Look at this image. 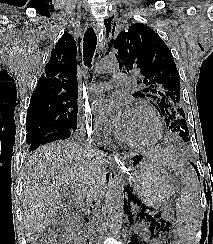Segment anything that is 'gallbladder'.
<instances>
[{"label": "gallbladder", "mask_w": 213, "mask_h": 244, "mask_svg": "<svg viewBox=\"0 0 213 244\" xmlns=\"http://www.w3.org/2000/svg\"><path fill=\"white\" fill-rule=\"evenodd\" d=\"M70 223V213L68 209L61 208L51 221L53 229H62Z\"/></svg>", "instance_id": "gallbladder-1"}]
</instances>
